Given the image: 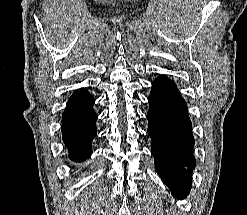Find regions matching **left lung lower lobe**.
I'll list each match as a JSON object with an SVG mask.
<instances>
[{"instance_id":"0a47b994","label":"left lung lower lobe","mask_w":247,"mask_h":215,"mask_svg":"<svg viewBox=\"0 0 247 215\" xmlns=\"http://www.w3.org/2000/svg\"><path fill=\"white\" fill-rule=\"evenodd\" d=\"M148 102L147 131L152 138L156 171L175 197L185 198L196 166L187 104L174 81L166 76L152 83Z\"/></svg>"}]
</instances>
